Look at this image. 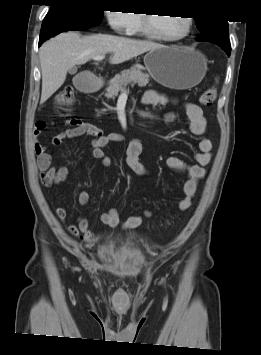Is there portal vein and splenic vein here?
<instances>
[{"label": "portal vein and splenic vein", "mask_w": 261, "mask_h": 355, "mask_svg": "<svg viewBox=\"0 0 261 355\" xmlns=\"http://www.w3.org/2000/svg\"><path fill=\"white\" fill-rule=\"evenodd\" d=\"M104 58H105V55H98V56L93 57V60H95V61H101V60H103Z\"/></svg>", "instance_id": "18ae733b"}]
</instances>
